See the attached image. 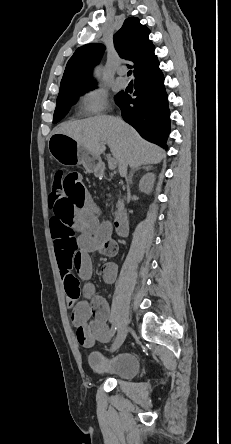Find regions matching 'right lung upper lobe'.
I'll use <instances>...</instances> for the list:
<instances>
[{
    "instance_id": "obj_1",
    "label": "right lung upper lobe",
    "mask_w": 231,
    "mask_h": 444,
    "mask_svg": "<svg viewBox=\"0 0 231 444\" xmlns=\"http://www.w3.org/2000/svg\"><path fill=\"white\" fill-rule=\"evenodd\" d=\"M149 33L150 30L140 24L138 18L130 17L113 37L119 56L134 63L135 78L159 65L154 54L155 47L148 38ZM104 49L102 44H86L79 47L67 62L59 93L94 86L91 71L99 62Z\"/></svg>"
}]
</instances>
